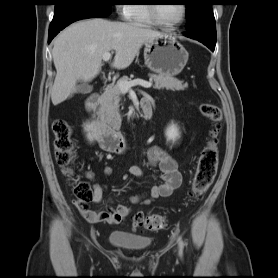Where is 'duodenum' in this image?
<instances>
[{
	"instance_id": "duodenum-1",
	"label": "duodenum",
	"mask_w": 278,
	"mask_h": 278,
	"mask_svg": "<svg viewBox=\"0 0 278 278\" xmlns=\"http://www.w3.org/2000/svg\"><path fill=\"white\" fill-rule=\"evenodd\" d=\"M99 95L97 93L92 94L86 100L85 107L92 119L93 131L100 146L110 152L121 153L126 148V138L124 134L109 127L105 124L96 113V106ZM141 116L144 119H149L152 115V107L147 99H143L140 103Z\"/></svg>"
}]
</instances>
